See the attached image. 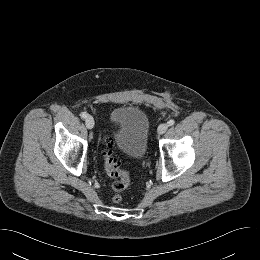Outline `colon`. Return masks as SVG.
<instances>
[{"label":"colon","mask_w":260,"mask_h":260,"mask_svg":"<svg viewBox=\"0 0 260 260\" xmlns=\"http://www.w3.org/2000/svg\"><path fill=\"white\" fill-rule=\"evenodd\" d=\"M105 150L103 152L104 168L106 174L114 179L112 184L114 203L122 201V192L129 186L130 178L127 172L120 169L117 160L114 158L111 147L112 143L109 140L105 141Z\"/></svg>","instance_id":"obj_1"}]
</instances>
